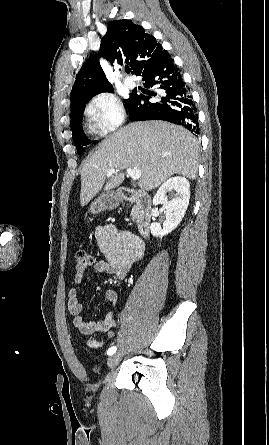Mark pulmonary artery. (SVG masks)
<instances>
[{
	"instance_id": "obj_1",
	"label": "pulmonary artery",
	"mask_w": 269,
	"mask_h": 445,
	"mask_svg": "<svg viewBox=\"0 0 269 445\" xmlns=\"http://www.w3.org/2000/svg\"><path fill=\"white\" fill-rule=\"evenodd\" d=\"M123 84L127 88H133L135 86V82L132 79H129V78H125L123 80Z\"/></svg>"
}]
</instances>
